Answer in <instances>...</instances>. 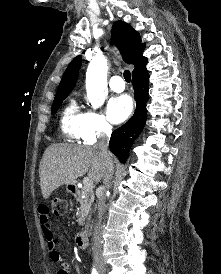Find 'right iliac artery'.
Wrapping results in <instances>:
<instances>
[{"label":"right iliac artery","mask_w":221,"mask_h":274,"mask_svg":"<svg viewBox=\"0 0 221 274\" xmlns=\"http://www.w3.org/2000/svg\"><path fill=\"white\" fill-rule=\"evenodd\" d=\"M92 274H98V272L95 268L92 269Z\"/></svg>","instance_id":"1"}]
</instances>
